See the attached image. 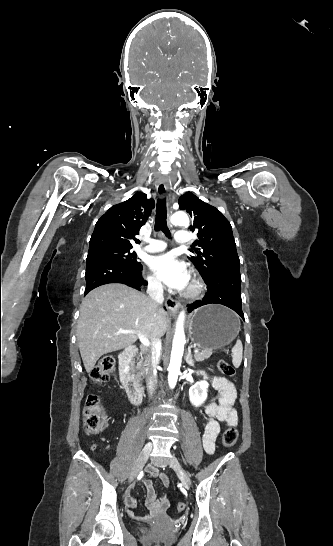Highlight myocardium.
<instances>
[{"mask_svg": "<svg viewBox=\"0 0 333 546\" xmlns=\"http://www.w3.org/2000/svg\"><path fill=\"white\" fill-rule=\"evenodd\" d=\"M204 288H205V285L203 281L201 280V278L195 275L191 281L190 286L183 293V295L186 298H194L200 295L203 292Z\"/></svg>", "mask_w": 333, "mask_h": 546, "instance_id": "myocardium-1", "label": "myocardium"}]
</instances>
